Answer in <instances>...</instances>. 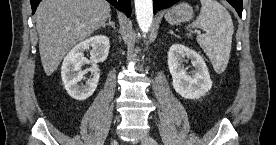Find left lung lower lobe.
Wrapping results in <instances>:
<instances>
[{
	"label": "left lung lower lobe",
	"instance_id": "1",
	"mask_svg": "<svg viewBox=\"0 0 276 145\" xmlns=\"http://www.w3.org/2000/svg\"><path fill=\"white\" fill-rule=\"evenodd\" d=\"M179 0H153L154 2V13L158 10L165 9L173 5ZM237 11L239 16H242V0H227Z\"/></svg>",
	"mask_w": 276,
	"mask_h": 145
}]
</instances>
